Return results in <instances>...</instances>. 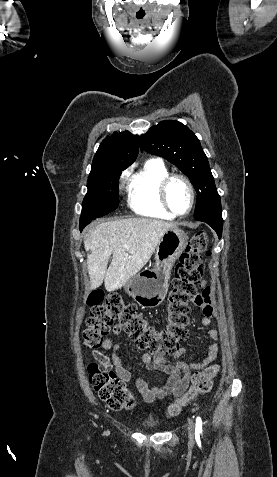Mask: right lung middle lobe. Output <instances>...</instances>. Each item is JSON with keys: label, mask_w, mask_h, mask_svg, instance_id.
<instances>
[{"label": "right lung middle lobe", "mask_w": 277, "mask_h": 477, "mask_svg": "<svg viewBox=\"0 0 277 477\" xmlns=\"http://www.w3.org/2000/svg\"><path fill=\"white\" fill-rule=\"evenodd\" d=\"M126 167H114L89 174L88 192L82 203L80 231L98 217L115 210L119 205L118 184L121 171Z\"/></svg>", "instance_id": "obj_1"}]
</instances>
